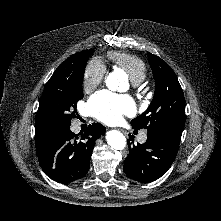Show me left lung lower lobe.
Segmentation results:
<instances>
[{"label": "left lung lower lobe", "instance_id": "0a47b994", "mask_svg": "<svg viewBox=\"0 0 221 221\" xmlns=\"http://www.w3.org/2000/svg\"><path fill=\"white\" fill-rule=\"evenodd\" d=\"M183 130L158 128L147 133L144 144H134L129 137V154L124 162L125 174L139 182H151L164 175L173 163ZM132 141V142H131Z\"/></svg>", "mask_w": 221, "mask_h": 221}]
</instances>
